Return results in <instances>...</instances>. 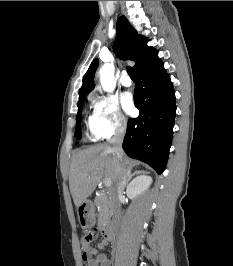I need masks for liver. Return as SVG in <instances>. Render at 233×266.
Masks as SVG:
<instances>
[{
    "label": "liver",
    "mask_w": 233,
    "mask_h": 266,
    "mask_svg": "<svg viewBox=\"0 0 233 266\" xmlns=\"http://www.w3.org/2000/svg\"><path fill=\"white\" fill-rule=\"evenodd\" d=\"M126 163L130 160L124 157ZM117 161L110 143L98 144L80 150L71 158L69 188L76 207L84 203L102 178H117Z\"/></svg>",
    "instance_id": "obj_1"
}]
</instances>
